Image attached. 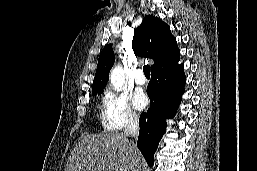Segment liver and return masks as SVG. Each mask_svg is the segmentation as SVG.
Wrapping results in <instances>:
<instances>
[{
    "mask_svg": "<svg viewBox=\"0 0 257 171\" xmlns=\"http://www.w3.org/2000/svg\"><path fill=\"white\" fill-rule=\"evenodd\" d=\"M124 134H88L72 150L65 171H133L140 153Z\"/></svg>",
    "mask_w": 257,
    "mask_h": 171,
    "instance_id": "1",
    "label": "liver"
}]
</instances>
